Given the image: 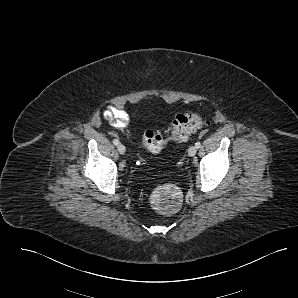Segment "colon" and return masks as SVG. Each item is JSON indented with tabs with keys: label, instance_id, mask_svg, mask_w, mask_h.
<instances>
[{
	"label": "colon",
	"instance_id": "1",
	"mask_svg": "<svg viewBox=\"0 0 298 298\" xmlns=\"http://www.w3.org/2000/svg\"><path fill=\"white\" fill-rule=\"evenodd\" d=\"M203 125L201 116L197 113L178 114L165 133L147 130L143 135V147L152 153L160 152L170 141L186 140ZM152 208L161 214L177 212L183 200L182 191L174 184L155 186L149 196Z\"/></svg>",
	"mask_w": 298,
	"mask_h": 298
}]
</instances>
